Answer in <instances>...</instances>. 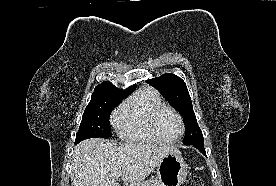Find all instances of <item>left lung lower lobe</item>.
I'll list each match as a JSON object with an SVG mask.
<instances>
[{"mask_svg":"<svg viewBox=\"0 0 276 186\" xmlns=\"http://www.w3.org/2000/svg\"><path fill=\"white\" fill-rule=\"evenodd\" d=\"M192 146L196 147L202 154L206 155L204 144H193Z\"/></svg>","mask_w":276,"mask_h":186,"instance_id":"0a47b994","label":"left lung lower lobe"}]
</instances>
